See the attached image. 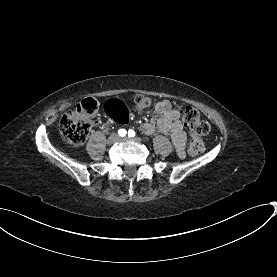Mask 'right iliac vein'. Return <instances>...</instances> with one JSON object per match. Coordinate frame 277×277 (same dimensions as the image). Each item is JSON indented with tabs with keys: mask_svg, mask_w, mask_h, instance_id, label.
Masks as SVG:
<instances>
[{
	"mask_svg": "<svg viewBox=\"0 0 277 277\" xmlns=\"http://www.w3.org/2000/svg\"><path fill=\"white\" fill-rule=\"evenodd\" d=\"M119 140V136L117 134H111L107 140L109 145L116 143Z\"/></svg>",
	"mask_w": 277,
	"mask_h": 277,
	"instance_id": "1",
	"label": "right iliac vein"
}]
</instances>
